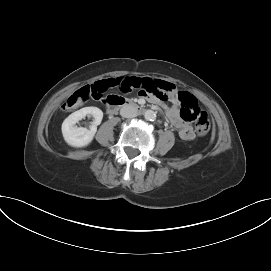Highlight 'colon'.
<instances>
[{
  "label": "colon",
  "instance_id": "obj_1",
  "mask_svg": "<svg viewBox=\"0 0 271 271\" xmlns=\"http://www.w3.org/2000/svg\"><path fill=\"white\" fill-rule=\"evenodd\" d=\"M158 89L162 88L158 85ZM105 91L104 88L96 90L90 86H85L68 97L62 108L64 110L75 109L91 98H99ZM112 97L109 96L108 100ZM178 101L181 105L180 115L182 119L194 122L197 133L206 135L210 131L211 123L207 113L199 108L197 99L188 92H178Z\"/></svg>",
  "mask_w": 271,
  "mask_h": 271
}]
</instances>
